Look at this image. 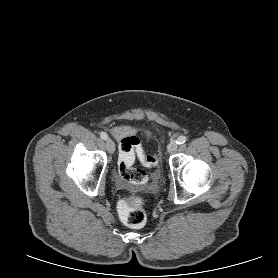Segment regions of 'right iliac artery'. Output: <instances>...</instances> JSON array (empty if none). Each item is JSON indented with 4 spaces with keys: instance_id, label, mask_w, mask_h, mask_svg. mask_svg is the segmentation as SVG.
I'll return each instance as SVG.
<instances>
[{
    "instance_id": "82829eb1",
    "label": "right iliac artery",
    "mask_w": 278,
    "mask_h": 278,
    "mask_svg": "<svg viewBox=\"0 0 278 278\" xmlns=\"http://www.w3.org/2000/svg\"><path fill=\"white\" fill-rule=\"evenodd\" d=\"M100 137H101L103 140H107L108 135H107V133H105V132H101V133H100Z\"/></svg>"
}]
</instances>
